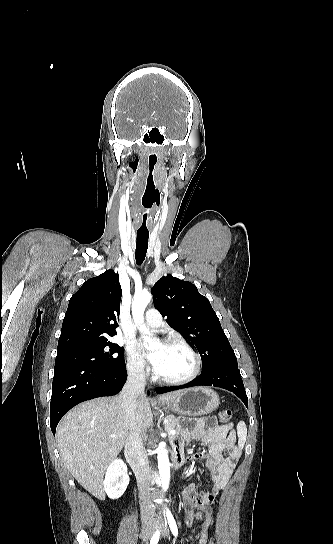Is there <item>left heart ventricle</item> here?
Instances as JSON below:
<instances>
[{
    "instance_id": "b2bd125f",
    "label": "left heart ventricle",
    "mask_w": 333,
    "mask_h": 544,
    "mask_svg": "<svg viewBox=\"0 0 333 544\" xmlns=\"http://www.w3.org/2000/svg\"><path fill=\"white\" fill-rule=\"evenodd\" d=\"M163 353L157 374L167 379H179L187 376L193 369L194 360L189 352L179 346L163 345Z\"/></svg>"
}]
</instances>
